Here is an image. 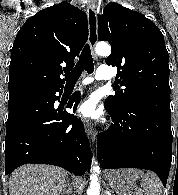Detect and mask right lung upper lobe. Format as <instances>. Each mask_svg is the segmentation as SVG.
<instances>
[{
  "instance_id": "1",
  "label": "right lung upper lobe",
  "mask_w": 178,
  "mask_h": 195,
  "mask_svg": "<svg viewBox=\"0 0 178 195\" xmlns=\"http://www.w3.org/2000/svg\"><path fill=\"white\" fill-rule=\"evenodd\" d=\"M88 38L86 14L62 2L29 18L16 35L9 66V96L63 86L64 72Z\"/></svg>"
}]
</instances>
